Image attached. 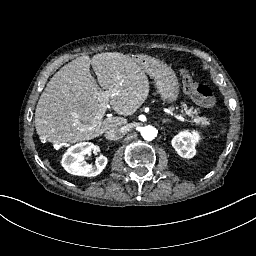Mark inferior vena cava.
Here are the masks:
<instances>
[{"instance_id":"inferior-vena-cava-1","label":"inferior vena cava","mask_w":256,"mask_h":256,"mask_svg":"<svg viewBox=\"0 0 256 256\" xmlns=\"http://www.w3.org/2000/svg\"><path fill=\"white\" fill-rule=\"evenodd\" d=\"M124 133L122 128H114L106 131L104 136L107 140H118L123 137Z\"/></svg>"}]
</instances>
